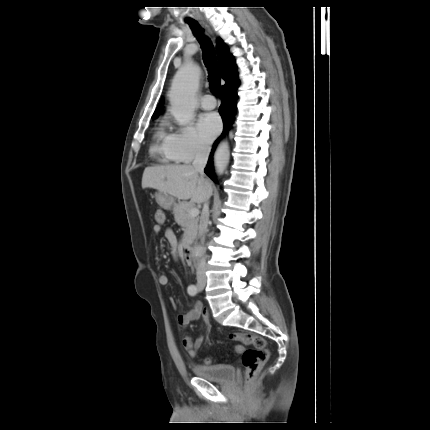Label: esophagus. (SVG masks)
<instances>
[{"mask_svg": "<svg viewBox=\"0 0 430 430\" xmlns=\"http://www.w3.org/2000/svg\"><path fill=\"white\" fill-rule=\"evenodd\" d=\"M206 28H207V30H208L210 33H212V30H211V28H210L208 25H206Z\"/></svg>", "mask_w": 430, "mask_h": 430, "instance_id": "obj_1", "label": "esophagus"}]
</instances>
